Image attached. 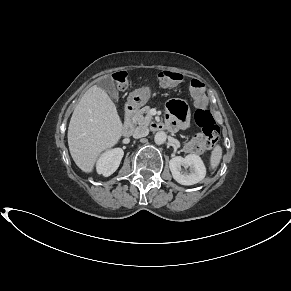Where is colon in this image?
I'll return each mask as SVG.
<instances>
[{
    "label": "colon",
    "mask_w": 291,
    "mask_h": 291,
    "mask_svg": "<svg viewBox=\"0 0 291 291\" xmlns=\"http://www.w3.org/2000/svg\"><path fill=\"white\" fill-rule=\"evenodd\" d=\"M183 79L182 74L174 71L164 70L158 74V81L161 87L168 88L178 84ZM113 84L125 89L131 84L129 76L125 72H118L112 76ZM192 95L196 100L198 109L195 113L196 124L201 132L193 135L186 143V150L190 153H198L203 150H210L216 147L219 138V127L212 114L205 108L206 96L203 85L198 81L192 82ZM170 106L179 111L178 117L184 115L183 106L179 101H171Z\"/></svg>",
    "instance_id": "colon-1"
}]
</instances>
